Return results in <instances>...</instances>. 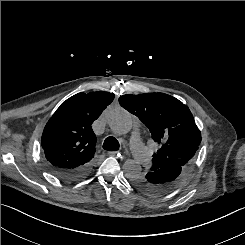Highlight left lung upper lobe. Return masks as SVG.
Listing matches in <instances>:
<instances>
[{"instance_id": "5c2ea615", "label": "left lung upper lobe", "mask_w": 245, "mask_h": 245, "mask_svg": "<svg viewBox=\"0 0 245 245\" xmlns=\"http://www.w3.org/2000/svg\"><path fill=\"white\" fill-rule=\"evenodd\" d=\"M119 103L136 115L160 144L153 154L150 172L171 165L189 168L201 143V132L186 105L164 93L123 95ZM133 184L141 192L153 195L148 173L134 179Z\"/></svg>"}]
</instances>
